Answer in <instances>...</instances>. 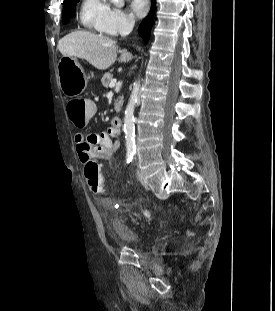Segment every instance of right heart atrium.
I'll list each match as a JSON object with an SVG mask.
<instances>
[{
  "label": "right heart atrium",
  "mask_w": 275,
  "mask_h": 311,
  "mask_svg": "<svg viewBox=\"0 0 275 311\" xmlns=\"http://www.w3.org/2000/svg\"><path fill=\"white\" fill-rule=\"evenodd\" d=\"M133 24V19L128 13L120 8L111 7L103 20L102 27L106 34L117 35L129 31Z\"/></svg>",
  "instance_id": "1"
}]
</instances>
